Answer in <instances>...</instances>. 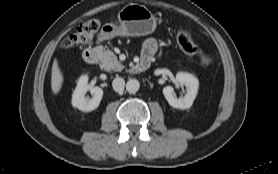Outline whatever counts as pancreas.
Listing matches in <instances>:
<instances>
[{
  "instance_id": "pancreas-1",
  "label": "pancreas",
  "mask_w": 278,
  "mask_h": 174,
  "mask_svg": "<svg viewBox=\"0 0 278 174\" xmlns=\"http://www.w3.org/2000/svg\"><path fill=\"white\" fill-rule=\"evenodd\" d=\"M101 67L107 72H119L124 69L122 63L118 61L117 56L109 49L102 51Z\"/></svg>"
}]
</instances>
